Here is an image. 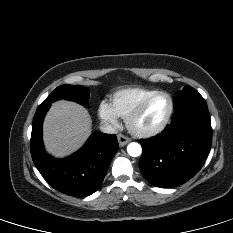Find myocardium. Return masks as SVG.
Wrapping results in <instances>:
<instances>
[{
    "label": "myocardium",
    "instance_id": "obj_1",
    "mask_svg": "<svg viewBox=\"0 0 233 233\" xmlns=\"http://www.w3.org/2000/svg\"><path fill=\"white\" fill-rule=\"evenodd\" d=\"M159 95H165L169 99V111L163 120V122L157 126L156 128L150 129V130H139L134 126V121L135 119L143 112V110L146 108V106L149 104V102L154 99L156 96ZM174 112V100L172 96L165 91H156L146 98H144L131 112L130 114L126 117V126L128 130L135 136L141 137V138H148V137H153L165 130V128L168 126V124L171 121V118L173 116Z\"/></svg>",
    "mask_w": 233,
    "mask_h": 233
}]
</instances>
